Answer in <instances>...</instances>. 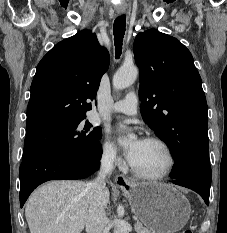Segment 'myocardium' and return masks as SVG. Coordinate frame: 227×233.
Here are the masks:
<instances>
[{
	"label": "myocardium",
	"instance_id": "obj_1",
	"mask_svg": "<svg viewBox=\"0 0 227 233\" xmlns=\"http://www.w3.org/2000/svg\"><path fill=\"white\" fill-rule=\"evenodd\" d=\"M144 141L159 145L166 153V156L168 159V164H167L166 168L164 169V171H162L161 173L148 174V173H144V172L139 171L131 164V162H129L130 171L135 176H137L141 179H145V180H160V179H163V178L169 176L171 174V172L173 171V168L175 166V158H174L173 152H172L171 148L169 147V145L164 140H162L158 137H147L144 139Z\"/></svg>",
	"mask_w": 227,
	"mask_h": 233
}]
</instances>
